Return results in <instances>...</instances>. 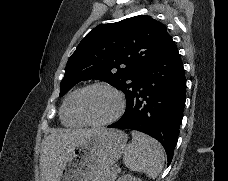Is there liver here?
Instances as JSON below:
<instances>
[{
	"instance_id": "obj_1",
	"label": "liver",
	"mask_w": 228,
	"mask_h": 181,
	"mask_svg": "<svg viewBox=\"0 0 228 181\" xmlns=\"http://www.w3.org/2000/svg\"><path fill=\"white\" fill-rule=\"evenodd\" d=\"M95 131L103 129H52L42 145L41 181H59L72 149Z\"/></svg>"
}]
</instances>
